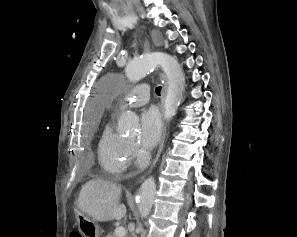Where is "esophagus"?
<instances>
[{
	"instance_id": "34e87169",
	"label": "esophagus",
	"mask_w": 297,
	"mask_h": 237,
	"mask_svg": "<svg viewBox=\"0 0 297 237\" xmlns=\"http://www.w3.org/2000/svg\"><path fill=\"white\" fill-rule=\"evenodd\" d=\"M166 92H167V81L166 79L164 80V86H163V90H162V97H161V110L163 112V109H164V100H165V96H166ZM166 138V130L164 131L163 133V142L160 146V149H159V153H158V156L160 155V153L162 152L163 150V146H164V140Z\"/></svg>"
}]
</instances>
